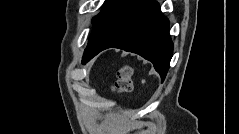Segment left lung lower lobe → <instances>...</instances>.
I'll use <instances>...</instances> for the list:
<instances>
[{
    "label": "left lung lower lobe",
    "mask_w": 239,
    "mask_h": 134,
    "mask_svg": "<svg viewBox=\"0 0 239 134\" xmlns=\"http://www.w3.org/2000/svg\"><path fill=\"white\" fill-rule=\"evenodd\" d=\"M169 21L155 0H125L104 28L90 38L85 61L107 48L134 52L151 61L164 80L172 58Z\"/></svg>",
    "instance_id": "obj_1"
}]
</instances>
